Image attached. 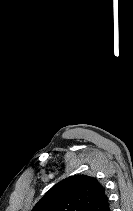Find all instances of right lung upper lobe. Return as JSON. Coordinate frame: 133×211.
Returning a JSON list of instances; mask_svg holds the SVG:
<instances>
[{"label": "right lung upper lobe", "mask_w": 133, "mask_h": 211, "mask_svg": "<svg viewBox=\"0 0 133 211\" xmlns=\"http://www.w3.org/2000/svg\"><path fill=\"white\" fill-rule=\"evenodd\" d=\"M32 211H110L104 188L97 179L74 175L54 185Z\"/></svg>", "instance_id": "cb5924a9"}]
</instances>
